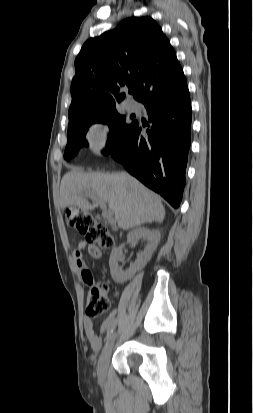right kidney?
<instances>
[{
	"label": "right kidney",
	"instance_id": "obj_1",
	"mask_svg": "<svg viewBox=\"0 0 253 413\" xmlns=\"http://www.w3.org/2000/svg\"><path fill=\"white\" fill-rule=\"evenodd\" d=\"M139 239H144L147 244L143 252L138 254L137 260L134 264L130 265V268L127 271L120 269L118 262L122 258V251L120 248H116L111 252L109 266L111 276L115 281L124 282L131 279L136 272L141 270L147 262L151 259L152 254L156 250L158 243L160 241V233L157 230H149L144 227H139L127 235L128 243H136Z\"/></svg>",
	"mask_w": 253,
	"mask_h": 413
}]
</instances>
